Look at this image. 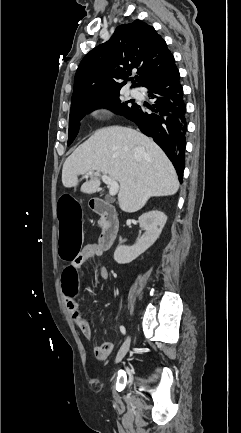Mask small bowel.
Segmentation results:
<instances>
[{
	"instance_id": "c3829d8e",
	"label": "small bowel",
	"mask_w": 241,
	"mask_h": 433,
	"mask_svg": "<svg viewBox=\"0 0 241 433\" xmlns=\"http://www.w3.org/2000/svg\"><path fill=\"white\" fill-rule=\"evenodd\" d=\"M102 255H103V251L100 249L98 244H88L84 246L83 249L80 251L79 257H76L75 261H71V264L74 267H77L79 271L80 266L86 260L93 257H101ZM99 273L103 279L108 278V271L105 266H100ZM63 294H64L65 306L71 318L73 319L75 325L78 327V329L81 331V333L85 338L90 339L92 337V329L89 322L82 315L77 302L75 300H69L67 296V292H63ZM113 349H114L113 343L104 342L103 344L98 345L94 348L95 357L98 360L104 361L109 357Z\"/></svg>"
}]
</instances>
